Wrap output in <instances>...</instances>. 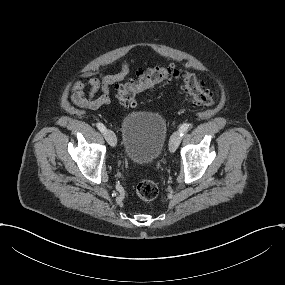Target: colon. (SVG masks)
Wrapping results in <instances>:
<instances>
[{
	"label": "colon",
	"instance_id": "1",
	"mask_svg": "<svg viewBox=\"0 0 285 285\" xmlns=\"http://www.w3.org/2000/svg\"><path fill=\"white\" fill-rule=\"evenodd\" d=\"M172 81L182 83L189 101L193 104L207 107L215 103L216 95L204 89L195 75L173 66H157L139 70L134 78L126 79L116 86L117 99L121 105L133 107L142 94L157 86L167 85ZM136 193L141 200L151 201L157 197L158 188L154 182L142 180L136 186Z\"/></svg>",
	"mask_w": 285,
	"mask_h": 285
}]
</instances>
